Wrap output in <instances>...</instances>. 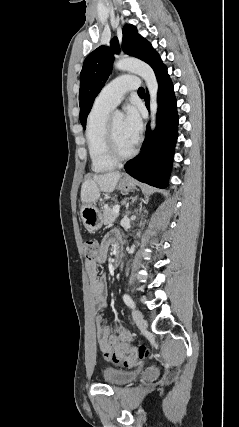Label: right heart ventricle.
Returning <instances> with one entry per match:
<instances>
[{"mask_svg": "<svg viewBox=\"0 0 239 427\" xmlns=\"http://www.w3.org/2000/svg\"><path fill=\"white\" fill-rule=\"evenodd\" d=\"M111 109L94 105L88 115L86 123V142L92 169L95 172H105L115 166L105 148L106 123Z\"/></svg>", "mask_w": 239, "mask_h": 427, "instance_id": "obj_1", "label": "right heart ventricle"}]
</instances>
